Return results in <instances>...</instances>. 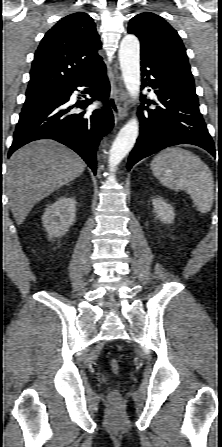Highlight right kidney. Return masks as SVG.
Returning <instances> with one entry per match:
<instances>
[{
	"mask_svg": "<svg viewBox=\"0 0 222 447\" xmlns=\"http://www.w3.org/2000/svg\"><path fill=\"white\" fill-rule=\"evenodd\" d=\"M76 201L73 198L61 197L47 206L42 216V224L49 238L65 235L75 222Z\"/></svg>",
	"mask_w": 222,
	"mask_h": 447,
	"instance_id": "right-kidney-1",
	"label": "right kidney"
}]
</instances>
